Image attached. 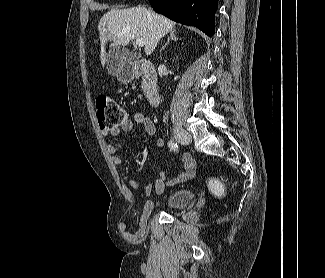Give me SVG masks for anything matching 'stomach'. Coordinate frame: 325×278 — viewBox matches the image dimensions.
I'll return each mask as SVG.
<instances>
[{
  "instance_id": "stomach-1",
  "label": "stomach",
  "mask_w": 325,
  "mask_h": 278,
  "mask_svg": "<svg viewBox=\"0 0 325 278\" xmlns=\"http://www.w3.org/2000/svg\"><path fill=\"white\" fill-rule=\"evenodd\" d=\"M135 73V69L132 67H120L118 72V79L123 83L130 82L134 79Z\"/></svg>"
}]
</instances>
